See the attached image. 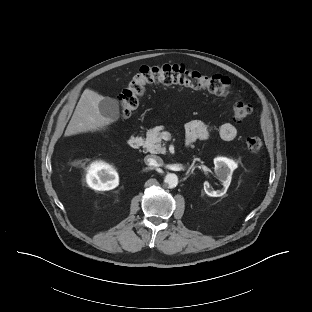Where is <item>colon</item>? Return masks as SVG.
<instances>
[{
  "label": "colon",
  "mask_w": 312,
  "mask_h": 312,
  "mask_svg": "<svg viewBox=\"0 0 312 312\" xmlns=\"http://www.w3.org/2000/svg\"><path fill=\"white\" fill-rule=\"evenodd\" d=\"M152 83L183 84L202 88L219 96H228L232 88L231 81L226 76L205 74L182 64L144 65L118 94L122 116L127 117L137 109L147 85ZM250 113L251 106L246 102L238 101L232 106V117L235 121L246 120ZM262 145V140L257 136L246 139V146L252 153L259 152Z\"/></svg>",
  "instance_id": "colon-1"
}]
</instances>
